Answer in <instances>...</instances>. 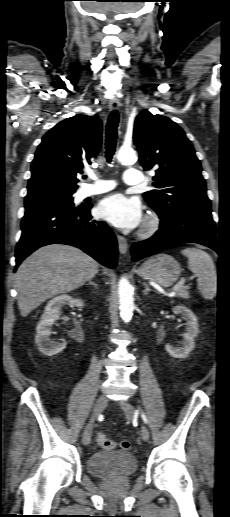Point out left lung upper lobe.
Returning <instances> with one entry per match:
<instances>
[{
    "label": "left lung upper lobe",
    "instance_id": "5c2ea615",
    "mask_svg": "<svg viewBox=\"0 0 230 517\" xmlns=\"http://www.w3.org/2000/svg\"><path fill=\"white\" fill-rule=\"evenodd\" d=\"M133 140L143 168H157L153 185L158 190L145 192L143 197L160 217L182 209L211 207L200 161L175 122L142 111L135 120Z\"/></svg>",
    "mask_w": 230,
    "mask_h": 517
}]
</instances>
